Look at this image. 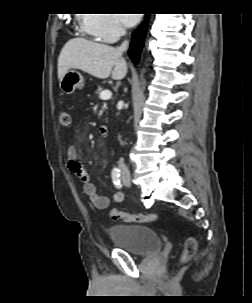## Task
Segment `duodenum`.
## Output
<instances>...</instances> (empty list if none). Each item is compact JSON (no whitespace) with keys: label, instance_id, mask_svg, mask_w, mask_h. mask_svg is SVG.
Returning <instances> with one entry per match:
<instances>
[{"label":"duodenum","instance_id":"duodenum-1","mask_svg":"<svg viewBox=\"0 0 252 303\" xmlns=\"http://www.w3.org/2000/svg\"><path fill=\"white\" fill-rule=\"evenodd\" d=\"M108 132H109V128L107 125H102L99 128V133H100V136H102V137H106L108 135Z\"/></svg>","mask_w":252,"mask_h":303}]
</instances>
